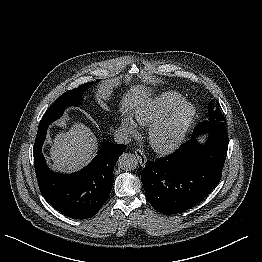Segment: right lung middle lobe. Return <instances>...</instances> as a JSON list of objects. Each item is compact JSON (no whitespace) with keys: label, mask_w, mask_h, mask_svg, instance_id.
<instances>
[{"label":"right lung middle lobe","mask_w":262,"mask_h":262,"mask_svg":"<svg viewBox=\"0 0 262 262\" xmlns=\"http://www.w3.org/2000/svg\"><path fill=\"white\" fill-rule=\"evenodd\" d=\"M91 83L80 85L78 88L62 94L47 110L41 121H54L60 118L64 110L69 106H79L82 102V95Z\"/></svg>","instance_id":"dd1d6c3e"}]
</instances>
